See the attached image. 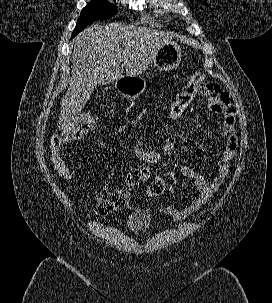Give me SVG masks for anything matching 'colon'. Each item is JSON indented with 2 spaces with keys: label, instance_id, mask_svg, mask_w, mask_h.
<instances>
[{
  "label": "colon",
  "instance_id": "colon-1",
  "mask_svg": "<svg viewBox=\"0 0 272 303\" xmlns=\"http://www.w3.org/2000/svg\"><path fill=\"white\" fill-rule=\"evenodd\" d=\"M205 75L202 71L195 72L190 81L177 94L175 100L171 103L165 116V124L167 127H178L182 125L186 119V113L191 106L196 94L200 91ZM96 127V121L89 116L78 118L74 123L70 124L61 133L54 136L52 140V163L57 173L65 178L70 179L72 172L66 165L62 156L64 145L74 139L84 136L92 132ZM135 148H145V142L138 139ZM167 183L162 177H157L148 186L147 193L150 196H160L164 194ZM129 196L122 191H114L102 194L96 203V211L100 215H108L117 210L126 208L129 205Z\"/></svg>",
  "mask_w": 272,
  "mask_h": 303
}]
</instances>
